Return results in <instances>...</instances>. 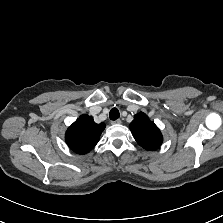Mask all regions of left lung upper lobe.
I'll list each match as a JSON object with an SVG mask.
<instances>
[{
	"mask_svg": "<svg viewBox=\"0 0 223 223\" xmlns=\"http://www.w3.org/2000/svg\"><path fill=\"white\" fill-rule=\"evenodd\" d=\"M129 127L137 143L144 149L155 150L162 144L160 130L145 113L136 114Z\"/></svg>",
	"mask_w": 223,
	"mask_h": 223,
	"instance_id": "obj_1",
	"label": "left lung upper lobe"
}]
</instances>
